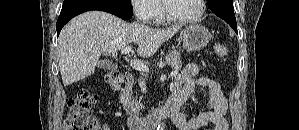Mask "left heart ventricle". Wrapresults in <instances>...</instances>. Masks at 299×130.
<instances>
[{
	"instance_id": "left-heart-ventricle-1",
	"label": "left heart ventricle",
	"mask_w": 299,
	"mask_h": 130,
	"mask_svg": "<svg viewBox=\"0 0 299 130\" xmlns=\"http://www.w3.org/2000/svg\"><path fill=\"white\" fill-rule=\"evenodd\" d=\"M168 8L175 17H191L198 12L199 7L197 0H171Z\"/></svg>"
}]
</instances>
